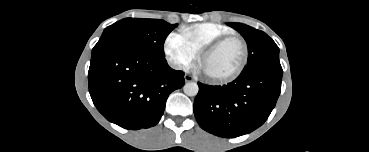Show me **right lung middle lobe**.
<instances>
[{"instance_id": "dd1d6c3e", "label": "right lung middle lobe", "mask_w": 369, "mask_h": 152, "mask_svg": "<svg viewBox=\"0 0 369 152\" xmlns=\"http://www.w3.org/2000/svg\"><path fill=\"white\" fill-rule=\"evenodd\" d=\"M164 20L126 18L105 28L92 50V56L127 48L165 59L163 45L168 34L177 27Z\"/></svg>"}]
</instances>
